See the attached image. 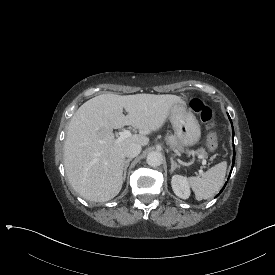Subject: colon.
Here are the masks:
<instances>
[{
    "label": "colon",
    "mask_w": 275,
    "mask_h": 275,
    "mask_svg": "<svg viewBox=\"0 0 275 275\" xmlns=\"http://www.w3.org/2000/svg\"><path fill=\"white\" fill-rule=\"evenodd\" d=\"M191 108L193 111L198 113L201 120L208 127V149L210 151H215L218 148V137L216 132V127L214 124L215 111L207 103L199 98H195L191 101Z\"/></svg>",
    "instance_id": "obj_1"
}]
</instances>
